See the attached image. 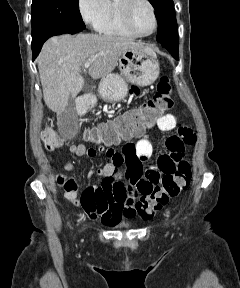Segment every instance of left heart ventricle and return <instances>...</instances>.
<instances>
[{
  "instance_id": "left-heart-ventricle-1",
  "label": "left heart ventricle",
  "mask_w": 240,
  "mask_h": 288,
  "mask_svg": "<svg viewBox=\"0 0 240 288\" xmlns=\"http://www.w3.org/2000/svg\"><path fill=\"white\" fill-rule=\"evenodd\" d=\"M134 29L141 34H148L154 28V19L149 6L145 3H138L132 14Z\"/></svg>"
}]
</instances>
